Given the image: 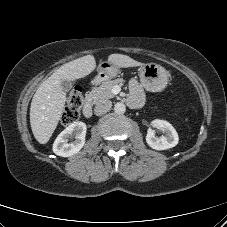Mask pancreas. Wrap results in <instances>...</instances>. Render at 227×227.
<instances>
[{"label":"pancreas","instance_id":"pancreas-1","mask_svg":"<svg viewBox=\"0 0 227 227\" xmlns=\"http://www.w3.org/2000/svg\"><path fill=\"white\" fill-rule=\"evenodd\" d=\"M123 79H115L102 83L99 87L92 88L86 93L87 100L96 104L100 101L117 97L113 92L112 88L115 85L122 84Z\"/></svg>","mask_w":227,"mask_h":227}]
</instances>
